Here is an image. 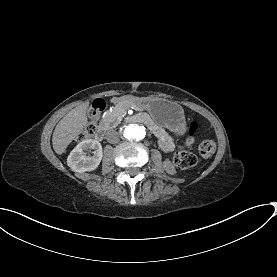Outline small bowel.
<instances>
[{"instance_id":"1","label":"small bowel","mask_w":277,"mask_h":277,"mask_svg":"<svg viewBox=\"0 0 277 277\" xmlns=\"http://www.w3.org/2000/svg\"><path fill=\"white\" fill-rule=\"evenodd\" d=\"M151 127H152V130H153L155 136L157 137L160 148L164 152L173 151L175 148L174 138L183 136L186 131L185 126L180 125L175 129L173 136H172L168 132H166L163 128L155 127L153 125Z\"/></svg>"}]
</instances>
